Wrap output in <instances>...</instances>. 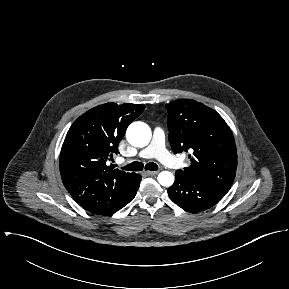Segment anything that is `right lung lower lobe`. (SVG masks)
I'll return each instance as SVG.
<instances>
[{
    "label": "right lung lower lobe",
    "instance_id": "obj_1",
    "mask_svg": "<svg viewBox=\"0 0 289 289\" xmlns=\"http://www.w3.org/2000/svg\"><path fill=\"white\" fill-rule=\"evenodd\" d=\"M141 175L140 174H135L134 176V185L131 189V191L124 197L118 200L111 208L106 210L103 214L101 215H111L121 208H123L125 205H127L136 195V192L139 188V184L141 181Z\"/></svg>",
    "mask_w": 289,
    "mask_h": 289
}]
</instances>
